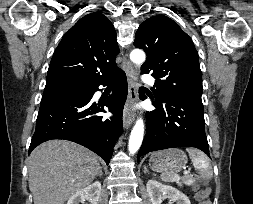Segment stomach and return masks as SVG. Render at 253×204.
<instances>
[{"label":"stomach","mask_w":253,"mask_h":204,"mask_svg":"<svg viewBox=\"0 0 253 204\" xmlns=\"http://www.w3.org/2000/svg\"><path fill=\"white\" fill-rule=\"evenodd\" d=\"M186 163L185 152L178 148L153 153L149 159V167L162 174H176Z\"/></svg>","instance_id":"1"}]
</instances>
